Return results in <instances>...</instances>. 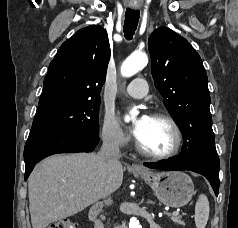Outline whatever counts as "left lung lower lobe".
I'll return each mask as SVG.
<instances>
[{
	"label": "left lung lower lobe",
	"mask_w": 238,
	"mask_h": 228,
	"mask_svg": "<svg viewBox=\"0 0 238 228\" xmlns=\"http://www.w3.org/2000/svg\"><path fill=\"white\" fill-rule=\"evenodd\" d=\"M146 167L159 170H189L205 176L210 182L216 196L219 189V167L220 161L218 155L206 156L197 160L182 163L178 158L172 157L167 160H161L154 164H144Z\"/></svg>",
	"instance_id": "left-lung-lower-lobe-1"
}]
</instances>
